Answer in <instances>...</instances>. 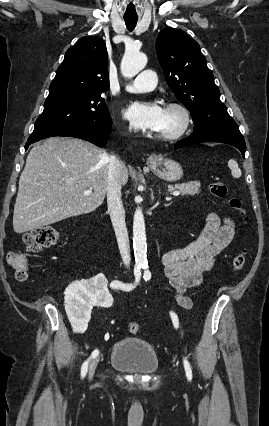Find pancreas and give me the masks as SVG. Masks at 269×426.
Instances as JSON below:
<instances>
[{
	"label": "pancreas",
	"instance_id": "cf45deb5",
	"mask_svg": "<svg viewBox=\"0 0 269 426\" xmlns=\"http://www.w3.org/2000/svg\"><path fill=\"white\" fill-rule=\"evenodd\" d=\"M169 191L178 190L182 195H195L200 193V182L191 181L183 184L169 185Z\"/></svg>",
	"mask_w": 269,
	"mask_h": 426
}]
</instances>
